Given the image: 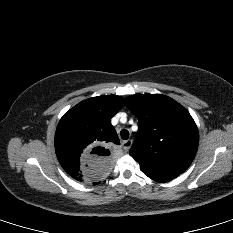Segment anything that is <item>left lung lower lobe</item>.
<instances>
[{"label": "left lung lower lobe", "instance_id": "obj_1", "mask_svg": "<svg viewBox=\"0 0 233 233\" xmlns=\"http://www.w3.org/2000/svg\"><path fill=\"white\" fill-rule=\"evenodd\" d=\"M141 170L145 175H147L149 178L157 182H167L180 175L178 173H173V172H155V171H148L143 169Z\"/></svg>", "mask_w": 233, "mask_h": 233}]
</instances>
